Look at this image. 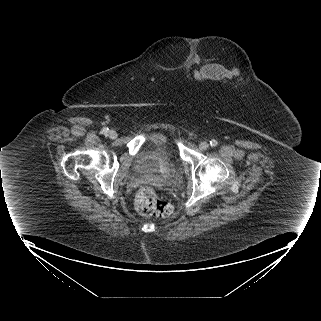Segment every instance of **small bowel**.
I'll list each match as a JSON object with an SVG mask.
<instances>
[{
  "instance_id": "1",
  "label": "small bowel",
  "mask_w": 321,
  "mask_h": 321,
  "mask_svg": "<svg viewBox=\"0 0 321 321\" xmlns=\"http://www.w3.org/2000/svg\"><path fill=\"white\" fill-rule=\"evenodd\" d=\"M245 81V74L243 72H236L224 68L218 64H210L197 72L187 73L185 75V82L187 84L195 83H216L218 85H231L236 83H243Z\"/></svg>"
}]
</instances>
